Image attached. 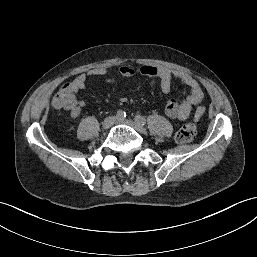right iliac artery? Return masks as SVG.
<instances>
[{
  "label": "right iliac artery",
  "instance_id": "1",
  "mask_svg": "<svg viewBox=\"0 0 257 257\" xmlns=\"http://www.w3.org/2000/svg\"><path fill=\"white\" fill-rule=\"evenodd\" d=\"M116 117L119 119H124L126 117V113L122 110L118 111Z\"/></svg>",
  "mask_w": 257,
  "mask_h": 257
}]
</instances>
